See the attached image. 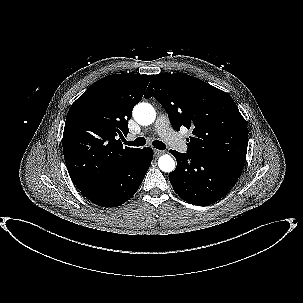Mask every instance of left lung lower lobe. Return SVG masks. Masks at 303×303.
<instances>
[{
    "mask_svg": "<svg viewBox=\"0 0 303 303\" xmlns=\"http://www.w3.org/2000/svg\"><path fill=\"white\" fill-rule=\"evenodd\" d=\"M177 160L169 173L174 191L187 203L207 206L222 198L241 175L245 160L170 151Z\"/></svg>",
    "mask_w": 303,
    "mask_h": 303,
    "instance_id": "0a47b994",
    "label": "left lung lower lobe"
}]
</instances>
